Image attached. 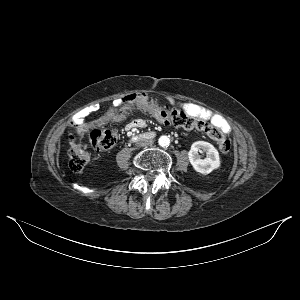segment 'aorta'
Segmentation results:
<instances>
[{"mask_svg": "<svg viewBox=\"0 0 300 300\" xmlns=\"http://www.w3.org/2000/svg\"><path fill=\"white\" fill-rule=\"evenodd\" d=\"M158 143L161 147H168L170 144V139L168 136L163 135L159 138Z\"/></svg>", "mask_w": 300, "mask_h": 300, "instance_id": "1", "label": "aorta"}]
</instances>
